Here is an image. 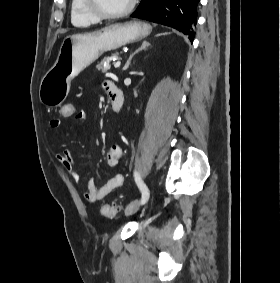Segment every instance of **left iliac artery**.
Masks as SVG:
<instances>
[{"label":"left iliac artery","instance_id":"1","mask_svg":"<svg viewBox=\"0 0 280 283\" xmlns=\"http://www.w3.org/2000/svg\"><path fill=\"white\" fill-rule=\"evenodd\" d=\"M134 177H135L136 184L142 193L141 204L143 205L148 201L150 193H149L148 187L142 181L141 176L137 171L134 172Z\"/></svg>","mask_w":280,"mask_h":283}]
</instances>
